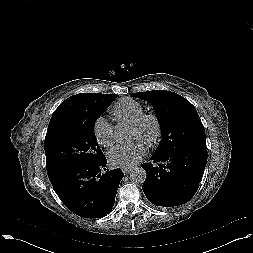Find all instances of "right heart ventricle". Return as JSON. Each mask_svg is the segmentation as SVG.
I'll list each match as a JSON object with an SVG mask.
<instances>
[{
    "label": "right heart ventricle",
    "mask_w": 253,
    "mask_h": 253,
    "mask_svg": "<svg viewBox=\"0 0 253 253\" xmlns=\"http://www.w3.org/2000/svg\"><path fill=\"white\" fill-rule=\"evenodd\" d=\"M111 113L117 121L130 124L144 113V107L136 100L123 98L113 106Z\"/></svg>",
    "instance_id": "e07e8e85"
}]
</instances>
